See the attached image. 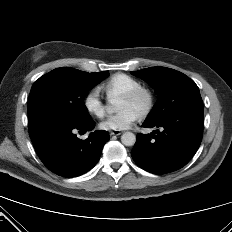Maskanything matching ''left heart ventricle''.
<instances>
[{"label":"left heart ventricle","instance_id":"b2bd125f","mask_svg":"<svg viewBox=\"0 0 232 232\" xmlns=\"http://www.w3.org/2000/svg\"><path fill=\"white\" fill-rule=\"evenodd\" d=\"M143 103H144L143 99L133 102V101H128L126 99L121 98L119 105H118V110L122 111L125 109H132L139 113Z\"/></svg>","mask_w":232,"mask_h":232}]
</instances>
